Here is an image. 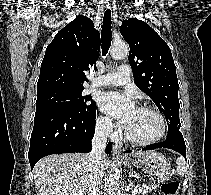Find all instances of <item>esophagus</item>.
I'll return each instance as SVG.
<instances>
[{"label":"esophagus","mask_w":211,"mask_h":195,"mask_svg":"<svg viewBox=\"0 0 211 195\" xmlns=\"http://www.w3.org/2000/svg\"><path fill=\"white\" fill-rule=\"evenodd\" d=\"M106 6L108 7L109 4H107ZM112 153H113V156H114V157H123L121 145L115 143V144L113 145Z\"/></svg>","instance_id":"34e87169"}]
</instances>
